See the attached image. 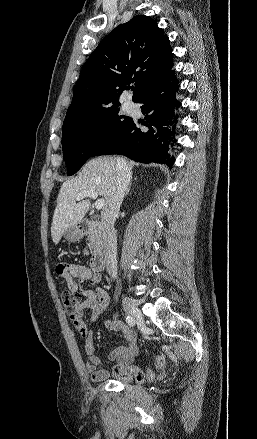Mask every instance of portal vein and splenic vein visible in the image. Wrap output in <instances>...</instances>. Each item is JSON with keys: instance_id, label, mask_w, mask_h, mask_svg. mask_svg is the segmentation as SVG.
<instances>
[{"instance_id": "18ae733b", "label": "portal vein and splenic vein", "mask_w": 257, "mask_h": 439, "mask_svg": "<svg viewBox=\"0 0 257 439\" xmlns=\"http://www.w3.org/2000/svg\"><path fill=\"white\" fill-rule=\"evenodd\" d=\"M85 197H91L93 199H97L98 192L95 190L83 191V192L77 194L76 201H80V200L84 199ZM104 203H105V200L103 198L97 199L95 202V208L97 210L102 209L104 206Z\"/></svg>"}]
</instances>
